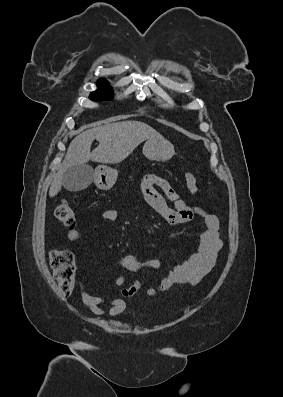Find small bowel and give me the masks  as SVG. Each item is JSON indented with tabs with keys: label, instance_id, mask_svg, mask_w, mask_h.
I'll return each instance as SVG.
<instances>
[{
	"label": "small bowel",
	"instance_id": "small-bowel-1",
	"mask_svg": "<svg viewBox=\"0 0 283 397\" xmlns=\"http://www.w3.org/2000/svg\"><path fill=\"white\" fill-rule=\"evenodd\" d=\"M141 188L150 208L167 224H185L197 217L202 220L204 231L200 236L197 250L182 264L172 266L157 286L143 287L139 280H135L125 287L127 278L125 276L116 277L114 284L122 287L121 295L124 298L131 297L141 288L148 296H154L175 284H187L190 286L197 284L211 272L223 247L219 236L220 222L216 215L209 213L200 206L188 205L174 192L169 183L159 176H145ZM169 203H172L173 207ZM118 216L117 210L107 209L100 214L94 224L99 225L104 222L114 221ZM67 238L70 241H77L80 239V232L76 229H71L67 233ZM117 264L128 272H137L141 268H158L161 265V260L151 259L141 263L135 256L125 255L118 260ZM80 296L82 302L97 316L105 313L104 306L108 307L107 313L110 317H116L126 310V302L123 298L92 295L88 291L84 280L81 281Z\"/></svg>",
	"mask_w": 283,
	"mask_h": 397
}]
</instances>
